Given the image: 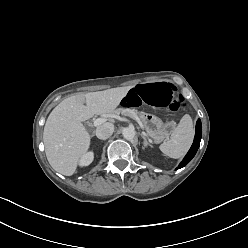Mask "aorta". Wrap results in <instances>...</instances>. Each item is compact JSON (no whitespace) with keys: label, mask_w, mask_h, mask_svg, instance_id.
<instances>
[{"label":"aorta","mask_w":248,"mask_h":248,"mask_svg":"<svg viewBox=\"0 0 248 248\" xmlns=\"http://www.w3.org/2000/svg\"><path fill=\"white\" fill-rule=\"evenodd\" d=\"M122 135L126 140H132L135 137L136 132L134 128L127 127L123 129Z\"/></svg>","instance_id":"aorta-1"}]
</instances>
